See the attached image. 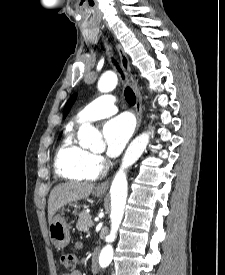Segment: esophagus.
<instances>
[{"instance_id": "esophagus-1", "label": "esophagus", "mask_w": 225, "mask_h": 275, "mask_svg": "<svg viewBox=\"0 0 225 275\" xmlns=\"http://www.w3.org/2000/svg\"><path fill=\"white\" fill-rule=\"evenodd\" d=\"M116 49L120 57L122 70L125 74L126 80L128 84L132 87L136 95V117H137V130H138L141 125L142 117H143L142 96L137 87V84L133 82L130 63L126 52L124 51L123 47L118 43H116ZM109 184H110V180H106L103 183H101L98 186V188L107 189L109 187Z\"/></svg>"}]
</instances>
